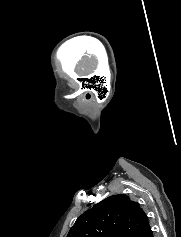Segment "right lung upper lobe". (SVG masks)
I'll use <instances>...</instances> for the list:
<instances>
[{"label": "right lung upper lobe", "instance_id": "obj_1", "mask_svg": "<svg viewBox=\"0 0 181 237\" xmlns=\"http://www.w3.org/2000/svg\"><path fill=\"white\" fill-rule=\"evenodd\" d=\"M67 237H153V232L139 203L118 194L78 217Z\"/></svg>", "mask_w": 181, "mask_h": 237}]
</instances>
